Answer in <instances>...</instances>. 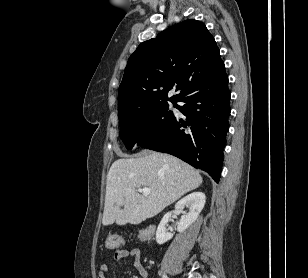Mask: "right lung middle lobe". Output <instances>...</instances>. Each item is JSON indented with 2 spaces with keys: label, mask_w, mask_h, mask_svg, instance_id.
I'll use <instances>...</instances> for the list:
<instances>
[{
  "label": "right lung middle lobe",
  "mask_w": 308,
  "mask_h": 278,
  "mask_svg": "<svg viewBox=\"0 0 308 278\" xmlns=\"http://www.w3.org/2000/svg\"><path fill=\"white\" fill-rule=\"evenodd\" d=\"M174 117L167 102L140 108L119 121L120 137L130 150L163 130Z\"/></svg>",
  "instance_id": "right-lung-middle-lobe-1"
}]
</instances>
